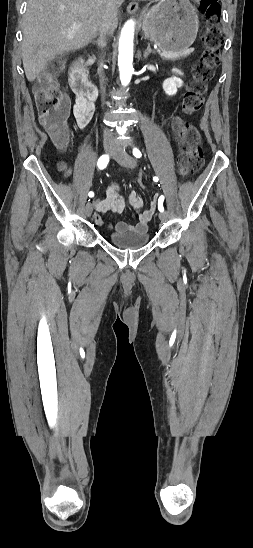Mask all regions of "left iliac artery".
<instances>
[{
    "mask_svg": "<svg viewBox=\"0 0 253 548\" xmlns=\"http://www.w3.org/2000/svg\"><path fill=\"white\" fill-rule=\"evenodd\" d=\"M133 155H134L136 158H140V157H141V152H140V150L137 149V148H134V149H133ZM153 180H154L155 182H158L159 179H158V177L155 176V177H153ZM163 201H164V196L161 195V196L159 197V200H158V210H159L160 212H164Z\"/></svg>",
    "mask_w": 253,
    "mask_h": 548,
    "instance_id": "44dca946",
    "label": "left iliac artery"
}]
</instances>
